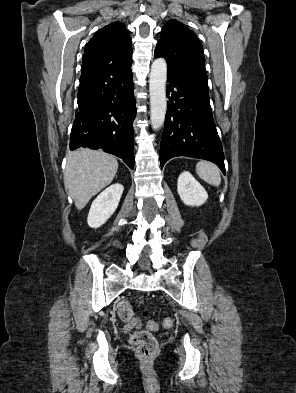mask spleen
<instances>
[{
  "instance_id": "obj_1",
  "label": "spleen",
  "mask_w": 296,
  "mask_h": 393,
  "mask_svg": "<svg viewBox=\"0 0 296 393\" xmlns=\"http://www.w3.org/2000/svg\"><path fill=\"white\" fill-rule=\"evenodd\" d=\"M198 176L207 183L218 187L221 183L220 171L216 165L208 161H200L196 165Z\"/></svg>"
}]
</instances>
